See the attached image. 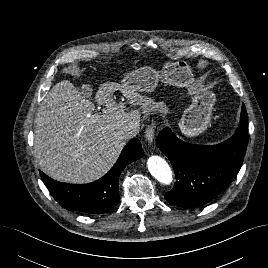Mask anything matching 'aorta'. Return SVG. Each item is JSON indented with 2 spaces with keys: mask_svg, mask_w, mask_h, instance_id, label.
I'll list each match as a JSON object with an SVG mask.
<instances>
[{
  "mask_svg": "<svg viewBox=\"0 0 268 268\" xmlns=\"http://www.w3.org/2000/svg\"><path fill=\"white\" fill-rule=\"evenodd\" d=\"M147 167L151 175L164 185L172 182V171L168 163L160 156H150L147 160Z\"/></svg>",
  "mask_w": 268,
  "mask_h": 268,
  "instance_id": "obj_1",
  "label": "aorta"
}]
</instances>
